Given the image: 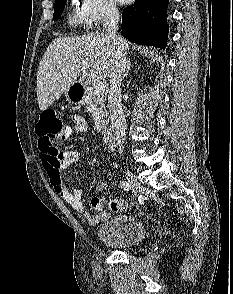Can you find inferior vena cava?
I'll return each instance as SVG.
<instances>
[{
	"mask_svg": "<svg viewBox=\"0 0 233 294\" xmlns=\"http://www.w3.org/2000/svg\"><path fill=\"white\" fill-rule=\"evenodd\" d=\"M119 21L118 9L112 7L109 9L106 21L105 32L106 36L112 40L116 48L114 62L110 73V89L108 95L109 115L117 144L119 146V153H123L124 137L126 131V120L121 104V81L127 68V60L123 53V41L117 34Z\"/></svg>",
	"mask_w": 233,
	"mask_h": 294,
	"instance_id": "602c4592",
	"label": "inferior vena cava"
}]
</instances>
